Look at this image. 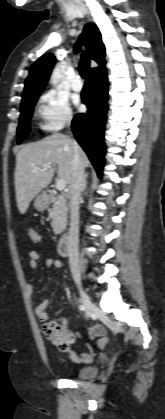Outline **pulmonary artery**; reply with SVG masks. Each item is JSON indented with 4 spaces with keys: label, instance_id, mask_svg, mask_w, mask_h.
Masks as SVG:
<instances>
[{
    "label": "pulmonary artery",
    "instance_id": "obj_1",
    "mask_svg": "<svg viewBox=\"0 0 165 419\" xmlns=\"http://www.w3.org/2000/svg\"><path fill=\"white\" fill-rule=\"evenodd\" d=\"M71 87L74 91H80L83 87L81 78L79 75H76L71 83Z\"/></svg>",
    "mask_w": 165,
    "mask_h": 419
}]
</instances>
